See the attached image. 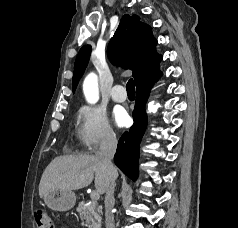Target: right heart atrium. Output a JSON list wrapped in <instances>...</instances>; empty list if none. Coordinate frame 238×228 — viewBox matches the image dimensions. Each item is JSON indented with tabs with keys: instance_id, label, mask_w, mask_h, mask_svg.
Returning a JSON list of instances; mask_svg holds the SVG:
<instances>
[{
	"instance_id": "1",
	"label": "right heart atrium",
	"mask_w": 238,
	"mask_h": 228,
	"mask_svg": "<svg viewBox=\"0 0 238 228\" xmlns=\"http://www.w3.org/2000/svg\"><path fill=\"white\" fill-rule=\"evenodd\" d=\"M76 134L80 145L87 152H95L117 141L105 112L96 106L85 105L79 109Z\"/></svg>"
}]
</instances>
